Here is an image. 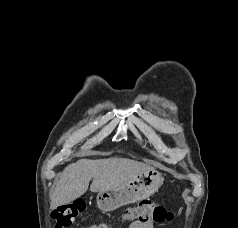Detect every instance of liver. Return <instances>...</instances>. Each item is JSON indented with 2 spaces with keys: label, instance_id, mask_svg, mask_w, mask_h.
<instances>
[{
  "label": "liver",
  "instance_id": "obj_1",
  "mask_svg": "<svg viewBox=\"0 0 238 228\" xmlns=\"http://www.w3.org/2000/svg\"><path fill=\"white\" fill-rule=\"evenodd\" d=\"M153 167L132 159H80L68 165L51 194V209L68 204L82 196L90 186L92 192L109 191L121 187L139 174Z\"/></svg>",
  "mask_w": 238,
  "mask_h": 228
}]
</instances>
